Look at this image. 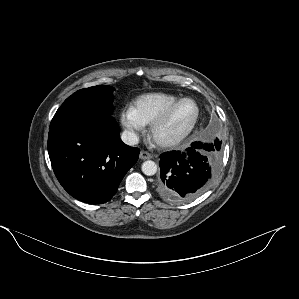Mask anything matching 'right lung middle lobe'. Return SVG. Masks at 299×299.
Instances as JSON below:
<instances>
[{
    "instance_id": "right-lung-middle-lobe-1",
    "label": "right lung middle lobe",
    "mask_w": 299,
    "mask_h": 299,
    "mask_svg": "<svg viewBox=\"0 0 299 299\" xmlns=\"http://www.w3.org/2000/svg\"><path fill=\"white\" fill-rule=\"evenodd\" d=\"M113 87L98 85L81 89L68 97L55 113L50 128L79 116H110L113 111Z\"/></svg>"
}]
</instances>
